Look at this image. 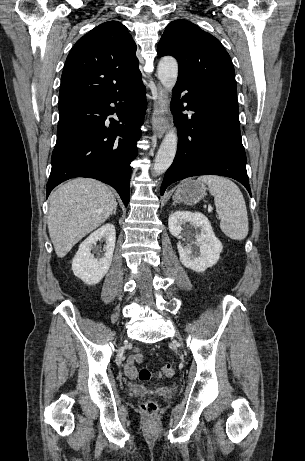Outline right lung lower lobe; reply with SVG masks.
Wrapping results in <instances>:
<instances>
[{
  "label": "right lung lower lobe",
  "mask_w": 305,
  "mask_h": 461,
  "mask_svg": "<svg viewBox=\"0 0 305 461\" xmlns=\"http://www.w3.org/2000/svg\"><path fill=\"white\" fill-rule=\"evenodd\" d=\"M115 103V107L110 106ZM145 87L138 82L115 94L59 105L57 141L46 196L74 177L98 179L114 187L125 206L130 196V163L144 120ZM116 114L120 124L107 117Z\"/></svg>",
  "instance_id": "obj_1"
}]
</instances>
